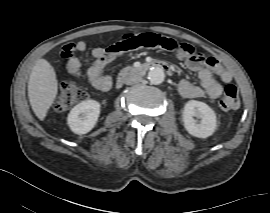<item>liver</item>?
<instances>
[{"mask_svg":"<svg viewBox=\"0 0 270 213\" xmlns=\"http://www.w3.org/2000/svg\"><path fill=\"white\" fill-rule=\"evenodd\" d=\"M58 93V81L51 64L39 59L32 68L28 81V97L35 115L44 120Z\"/></svg>","mask_w":270,"mask_h":213,"instance_id":"1","label":"liver"}]
</instances>
